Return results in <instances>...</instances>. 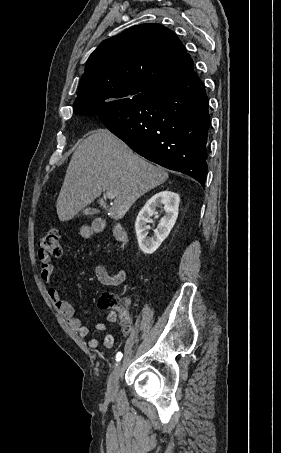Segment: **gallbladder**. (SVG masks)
I'll return each mask as SVG.
<instances>
[{
	"label": "gallbladder",
	"instance_id": "bac80fb5",
	"mask_svg": "<svg viewBox=\"0 0 281 453\" xmlns=\"http://www.w3.org/2000/svg\"><path fill=\"white\" fill-rule=\"evenodd\" d=\"M84 214H96L98 212L97 208H85L83 210Z\"/></svg>",
	"mask_w": 281,
	"mask_h": 453
}]
</instances>
